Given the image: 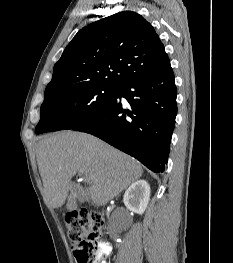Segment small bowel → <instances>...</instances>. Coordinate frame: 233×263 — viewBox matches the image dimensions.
I'll return each instance as SVG.
<instances>
[{
	"label": "small bowel",
	"instance_id": "1",
	"mask_svg": "<svg viewBox=\"0 0 233 263\" xmlns=\"http://www.w3.org/2000/svg\"><path fill=\"white\" fill-rule=\"evenodd\" d=\"M112 251V246L109 242H105L102 246V255L103 258H106L110 255ZM102 263H107L105 260H102Z\"/></svg>",
	"mask_w": 233,
	"mask_h": 263
}]
</instances>
